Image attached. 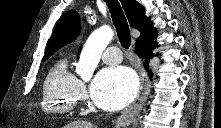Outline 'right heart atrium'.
Segmentation results:
<instances>
[{"label":"right heart atrium","mask_w":221,"mask_h":128,"mask_svg":"<svg viewBox=\"0 0 221 128\" xmlns=\"http://www.w3.org/2000/svg\"><path fill=\"white\" fill-rule=\"evenodd\" d=\"M86 93V87H85V84L83 81L79 80L78 83H77V94H78V97L82 98L84 97Z\"/></svg>","instance_id":"d8ad5b80"}]
</instances>
